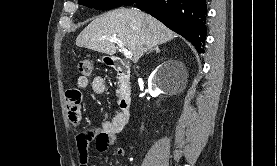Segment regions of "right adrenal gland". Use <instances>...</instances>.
Instances as JSON below:
<instances>
[{"label": "right adrenal gland", "mask_w": 277, "mask_h": 166, "mask_svg": "<svg viewBox=\"0 0 277 166\" xmlns=\"http://www.w3.org/2000/svg\"><path fill=\"white\" fill-rule=\"evenodd\" d=\"M152 51H155L156 53H160V49H159L158 46H155L153 49H151V50L148 52V54H149L150 52H152Z\"/></svg>", "instance_id": "obj_1"}]
</instances>
